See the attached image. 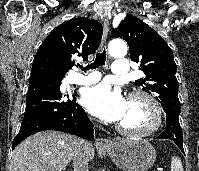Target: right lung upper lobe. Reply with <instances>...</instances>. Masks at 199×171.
Listing matches in <instances>:
<instances>
[{"instance_id": "right-lung-upper-lobe-1", "label": "right lung upper lobe", "mask_w": 199, "mask_h": 171, "mask_svg": "<svg viewBox=\"0 0 199 171\" xmlns=\"http://www.w3.org/2000/svg\"><path fill=\"white\" fill-rule=\"evenodd\" d=\"M102 24L96 20L73 18L54 28L34 57L31 77H64L72 68L74 56L84 60L95 52L102 38Z\"/></svg>"}]
</instances>
